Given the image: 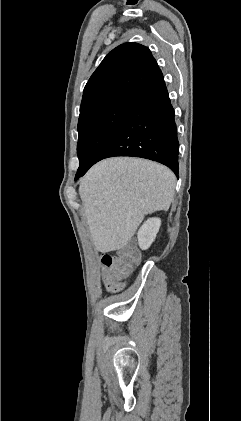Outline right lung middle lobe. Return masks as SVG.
<instances>
[{
  "instance_id": "obj_1",
  "label": "right lung middle lobe",
  "mask_w": 241,
  "mask_h": 421,
  "mask_svg": "<svg viewBox=\"0 0 241 421\" xmlns=\"http://www.w3.org/2000/svg\"><path fill=\"white\" fill-rule=\"evenodd\" d=\"M131 101L117 102L91 111L78 121L79 169L90 168L119 128Z\"/></svg>"
}]
</instances>
